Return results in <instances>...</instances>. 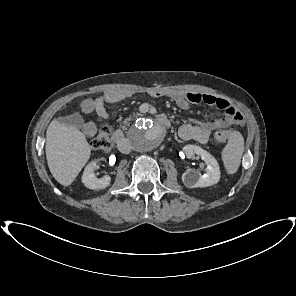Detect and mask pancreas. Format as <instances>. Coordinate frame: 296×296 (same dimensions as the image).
Returning <instances> with one entry per match:
<instances>
[{
	"instance_id": "obj_1",
	"label": "pancreas",
	"mask_w": 296,
	"mask_h": 296,
	"mask_svg": "<svg viewBox=\"0 0 296 296\" xmlns=\"http://www.w3.org/2000/svg\"><path fill=\"white\" fill-rule=\"evenodd\" d=\"M129 120H130V118H126V119L124 120V122H123V123H124L123 129L126 128V125H128Z\"/></svg>"
}]
</instances>
